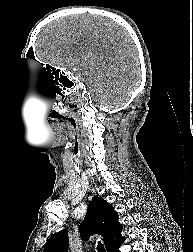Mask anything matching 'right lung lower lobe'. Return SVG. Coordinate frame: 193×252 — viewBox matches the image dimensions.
Wrapping results in <instances>:
<instances>
[{"mask_svg":"<svg viewBox=\"0 0 193 252\" xmlns=\"http://www.w3.org/2000/svg\"><path fill=\"white\" fill-rule=\"evenodd\" d=\"M122 243H123V242H122ZM122 243H120L119 246H117L116 249H115L113 252H120V251H119V247H120V245H121Z\"/></svg>","mask_w":193,"mask_h":252,"instance_id":"obj_1","label":"right lung lower lobe"}]
</instances>
